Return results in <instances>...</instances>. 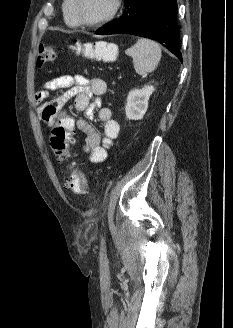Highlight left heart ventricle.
Here are the masks:
<instances>
[{"label":"left heart ventricle","instance_id":"b2bd125f","mask_svg":"<svg viewBox=\"0 0 233 328\" xmlns=\"http://www.w3.org/2000/svg\"><path fill=\"white\" fill-rule=\"evenodd\" d=\"M113 0H80L81 17L88 22L104 18L111 11Z\"/></svg>","mask_w":233,"mask_h":328}]
</instances>
